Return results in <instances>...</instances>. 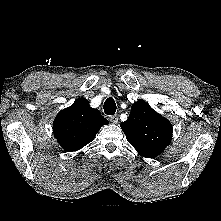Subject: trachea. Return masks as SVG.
Wrapping results in <instances>:
<instances>
[{"label":"trachea","instance_id":"3493384b","mask_svg":"<svg viewBox=\"0 0 221 221\" xmlns=\"http://www.w3.org/2000/svg\"><path fill=\"white\" fill-rule=\"evenodd\" d=\"M104 112L107 115H114L116 112V103L112 98H108L105 102H104Z\"/></svg>","mask_w":221,"mask_h":221}]
</instances>
